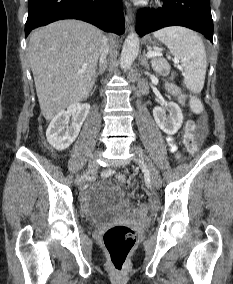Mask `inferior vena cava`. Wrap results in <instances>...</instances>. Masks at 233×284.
I'll use <instances>...</instances> for the list:
<instances>
[{"mask_svg": "<svg viewBox=\"0 0 233 284\" xmlns=\"http://www.w3.org/2000/svg\"><path fill=\"white\" fill-rule=\"evenodd\" d=\"M107 54H108L107 39L104 36H102L100 40V65H103L105 63Z\"/></svg>", "mask_w": 233, "mask_h": 284, "instance_id": "inferior-vena-cava-1", "label": "inferior vena cava"}]
</instances>
